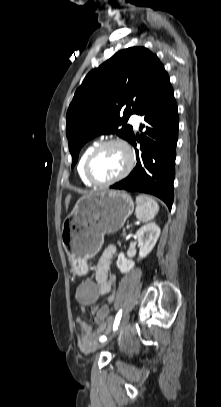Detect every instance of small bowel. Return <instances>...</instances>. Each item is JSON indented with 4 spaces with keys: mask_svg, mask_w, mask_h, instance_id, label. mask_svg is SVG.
I'll return each instance as SVG.
<instances>
[{
    "mask_svg": "<svg viewBox=\"0 0 221 407\" xmlns=\"http://www.w3.org/2000/svg\"><path fill=\"white\" fill-rule=\"evenodd\" d=\"M115 254V246L110 245L106 247L95 268V278L97 283L100 284V294L108 296L109 303L114 301V290L117 284L116 276L110 273L111 261ZM99 310L100 308L98 306L92 307L93 313H98ZM76 323L80 330L77 338L78 346L80 350L85 353L94 349L97 337L108 328L106 323H101L99 327L93 331L91 326L85 323L80 317L76 318Z\"/></svg>",
    "mask_w": 221,
    "mask_h": 407,
    "instance_id": "small-bowel-1",
    "label": "small bowel"
}]
</instances>
